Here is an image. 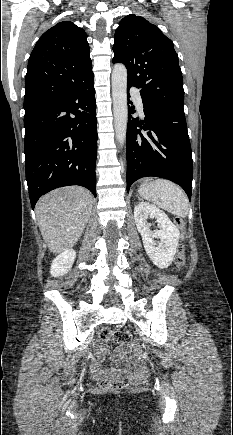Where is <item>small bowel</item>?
<instances>
[{
  "label": "small bowel",
  "mask_w": 233,
  "mask_h": 435,
  "mask_svg": "<svg viewBox=\"0 0 233 435\" xmlns=\"http://www.w3.org/2000/svg\"><path fill=\"white\" fill-rule=\"evenodd\" d=\"M98 354L103 356L105 353L104 346L102 344H98ZM114 358L116 360L128 356L131 359L132 367L127 369V373L129 374H144L146 371V366L144 365L141 354L137 349H128L125 346L117 347L113 352ZM90 372L95 379H99L106 374L110 373L111 370L104 369L100 363V361H95L92 363L90 367Z\"/></svg>",
  "instance_id": "obj_1"
}]
</instances>
